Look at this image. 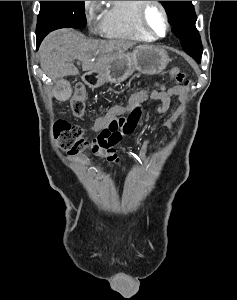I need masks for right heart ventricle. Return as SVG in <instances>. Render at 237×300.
Instances as JSON below:
<instances>
[{
	"instance_id": "e07e8e85",
	"label": "right heart ventricle",
	"mask_w": 237,
	"mask_h": 300,
	"mask_svg": "<svg viewBox=\"0 0 237 300\" xmlns=\"http://www.w3.org/2000/svg\"><path fill=\"white\" fill-rule=\"evenodd\" d=\"M143 1H108L100 22L101 32L110 37L150 39L139 18Z\"/></svg>"
}]
</instances>
